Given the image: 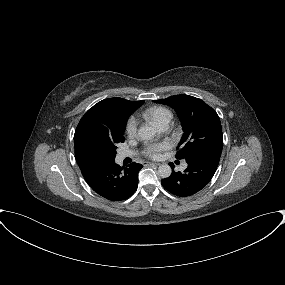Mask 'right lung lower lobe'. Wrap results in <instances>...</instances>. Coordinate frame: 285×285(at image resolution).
I'll return each instance as SVG.
<instances>
[{"mask_svg": "<svg viewBox=\"0 0 285 285\" xmlns=\"http://www.w3.org/2000/svg\"><path fill=\"white\" fill-rule=\"evenodd\" d=\"M143 166L132 163L121 168L113 162L96 164L81 170L88 185L100 196L121 201L129 198L138 187V173Z\"/></svg>", "mask_w": 285, "mask_h": 285, "instance_id": "right-lung-lower-lobe-1", "label": "right lung lower lobe"}]
</instances>
